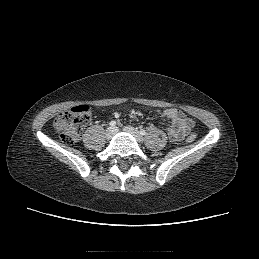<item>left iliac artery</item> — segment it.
Returning <instances> with one entry per match:
<instances>
[{
    "instance_id": "1",
    "label": "left iliac artery",
    "mask_w": 259,
    "mask_h": 259,
    "mask_svg": "<svg viewBox=\"0 0 259 259\" xmlns=\"http://www.w3.org/2000/svg\"><path fill=\"white\" fill-rule=\"evenodd\" d=\"M140 134H141V135H145V134H146V131H145V130H140Z\"/></svg>"
}]
</instances>
